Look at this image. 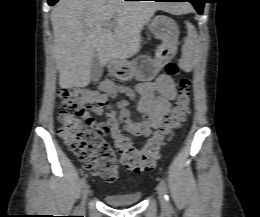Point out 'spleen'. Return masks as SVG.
<instances>
[{
  "label": "spleen",
  "mask_w": 260,
  "mask_h": 217,
  "mask_svg": "<svg viewBox=\"0 0 260 217\" xmlns=\"http://www.w3.org/2000/svg\"><path fill=\"white\" fill-rule=\"evenodd\" d=\"M186 28L188 36L182 46V53L184 58H189L195 52L198 43V36L195 27L188 21H186Z\"/></svg>",
  "instance_id": "3e777b00"
}]
</instances>
